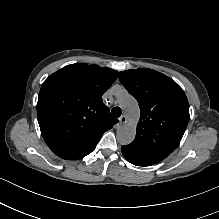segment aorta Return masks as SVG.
<instances>
[{
  "label": "aorta",
  "instance_id": "obj_1",
  "mask_svg": "<svg viewBox=\"0 0 219 219\" xmlns=\"http://www.w3.org/2000/svg\"><path fill=\"white\" fill-rule=\"evenodd\" d=\"M119 105L129 118V122L117 130V141L122 145L130 144L136 135L137 121L140 116V109L136 99L128 93L120 92Z\"/></svg>",
  "mask_w": 219,
  "mask_h": 219
}]
</instances>
